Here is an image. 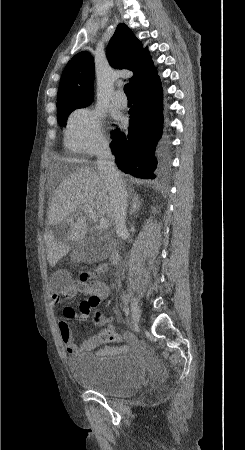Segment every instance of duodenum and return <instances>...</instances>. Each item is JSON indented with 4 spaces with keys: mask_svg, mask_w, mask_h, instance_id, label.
Wrapping results in <instances>:
<instances>
[{
    "mask_svg": "<svg viewBox=\"0 0 245 450\" xmlns=\"http://www.w3.org/2000/svg\"><path fill=\"white\" fill-rule=\"evenodd\" d=\"M109 259L111 261V263L115 266H118L120 263V256H119V252L116 248H113L111 251V254L109 256Z\"/></svg>",
    "mask_w": 245,
    "mask_h": 450,
    "instance_id": "duodenum-1",
    "label": "duodenum"
}]
</instances>
